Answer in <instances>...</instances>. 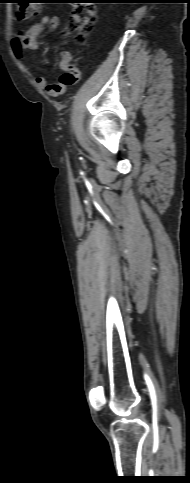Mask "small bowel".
Here are the masks:
<instances>
[{"label": "small bowel", "mask_w": 190, "mask_h": 483, "mask_svg": "<svg viewBox=\"0 0 190 483\" xmlns=\"http://www.w3.org/2000/svg\"><path fill=\"white\" fill-rule=\"evenodd\" d=\"M60 25L61 21L59 17L54 15L43 16L40 22L30 27L26 32H18L14 34L10 42L12 54L16 59L21 60L26 51H35L38 49V38L45 26H49L52 30H57ZM70 59L71 56L68 53H64L61 58V67L66 72L72 73L77 81L80 77V70L70 64ZM35 82L40 88L45 89L51 96H58L64 90H58L57 84L49 83L47 78L43 75H37L35 77Z\"/></svg>", "instance_id": "small-bowel-1"}]
</instances>
